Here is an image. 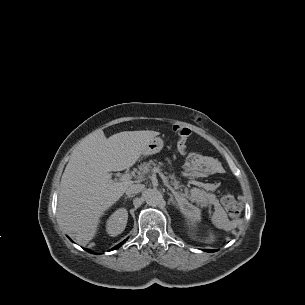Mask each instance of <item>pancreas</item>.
Listing matches in <instances>:
<instances>
[{"label":"pancreas","mask_w":305,"mask_h":305,"mask_svg":"<svg viewBox=\"0 0 305 305\" xmlns=\"http://www.w3.org/2000/svg\"><path fill=\"white\" fill-rule=\"evenodd\" d=\"M161 165H163V163L159 162L157 164L156 160H149L148 162H144L143 164H141L139 166V172L144 175L150 171H153L154 168H160ZM169 178L171 179L170 184L175 189H179L180 183L176 179L175 174L174 173L170 174ZM179 196H180V198H184L183 194H180ZM210 197H211L210 194L205 192L203 189H198V188H192L190 190V194H188V198L192 202H195L198 206H201V207H205L208 205Z\"/></svg>","instance_id":"cf45deb5"}]
</instances>
